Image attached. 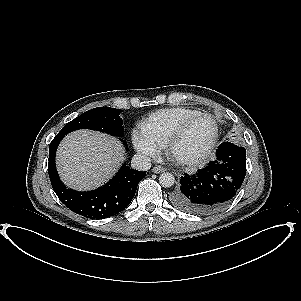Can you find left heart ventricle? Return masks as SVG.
I'll list each match as a JSON object with an SVG mask.
<instances>
[{
  "label": "left heart ventricle",
  "mask_w": 301,
  "mask_h": 301,
  "mask_svg": "<svg viewBox=\"0 0 301 301\" xmlns=\"http://www.w3.org/2000/svg\"><path fill=\"white\" fill-rule=\"evenodd\" d=\"M214 131L213 122L200 118L193 122L174 148L178 158H192L199 155L210 142Z\"/></svg>",
  "instance_id": "1"
}]
</instances>
